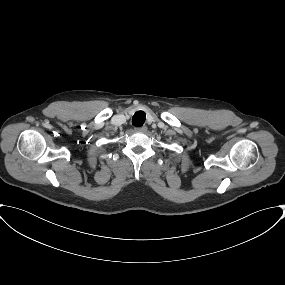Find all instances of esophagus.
I'll return each mask as SVG.
<instances>
[{
  "mask_svg": "<svg viewBox=\"0 0 285 285\" xmlns=\"http://www.w3.org/2000/svg\"><path fill=\"white\" fill-rule=\"evenodd\" d=\"M135 131H137V132H146L147 131V127L146 126L136 127Z\"/></svg>",
  "mask_w": 285,
  "mask_h": 285,
  "instance_id": "obj_1",
  "label": "esophagus"
}]
</instances>
